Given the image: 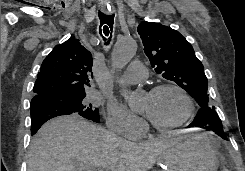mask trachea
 <instances>
[{"label":"trachea","instance_id":"1","mask_svg":"<svg viewBox=\"0 0 245 171\" xmlns=\"http://www.w3.org/2000/svg\"><path fill=\"white\" fill-rule=\"evenodd\" d=\"M100 19L99 33L100 35H104V40L112 37V29L114 23V15L113 14H105L101 11L98 13ZM108 45V43H105Z\"/></svg>","mask_w":245,"mask_h":171}]
</instances>
